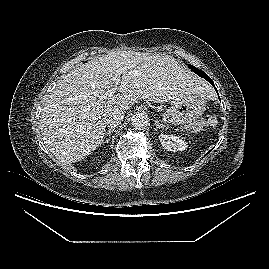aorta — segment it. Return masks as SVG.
<instances>
[{
    "label": "aorta",
    "mask_w": 269,
    "mask_h": 269,
    "mask_svg": "<svg viewBox=\"0 0 269 269\" xmlns=\"http://www.w3.org/2000/svg\"><path fill=\"white\" fill-rule=\"evenodd\" d=\"M131 123L135 129H143L148 124L147 115H145L144 113H139V112L135 113L131 117Z\"/></svg>",
    "instance_id": "obj_1"
}]
</instances>
